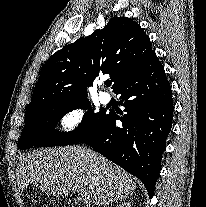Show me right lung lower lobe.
I'll return each instance as SVG.
<instances>
[{"label":"right lung lower lobe","mask_w":206,"mask_h":207,"mask_svg":"<svg viewBox=\"0 0 206 207\" xmlns=\"http://www.w3.org/2000/svg\"><path fill=\"white\" fill-rule=\"evenodd\" d=\"M115 93L126 114L110 110L80 142L140 179L152 198L173 115L171 87L157 56Z\"/></svg>","instance_id":"right-lung-lower-lobe-1"}]
</instances>
